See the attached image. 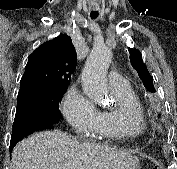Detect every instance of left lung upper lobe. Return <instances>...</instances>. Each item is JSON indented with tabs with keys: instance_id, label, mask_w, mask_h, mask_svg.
I'll return each instance as SVG.
<instances>
[{
	"instance_id": "obj_1",
	"label": "left lung upper lobe",
	"mask_w": 177,
	"mask_h": 169,
	"mask_svg": "<svg viewBox=\"0 0 177 169\" xmlns=\"http://www.w3.org/2000/svg\"><path fill=\"white\" fill-rule=\"evenodd\" d=\"M130 53V61L134 69L137 70L140 79L142 80L144 86L147 90L151 92H155V88L153 85V77L150 75L148 69L143 64L142 55L136 49L128 48Z\"/></svg>"
}]
</instances>
